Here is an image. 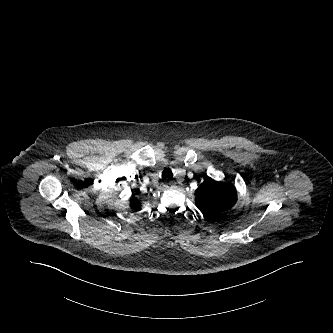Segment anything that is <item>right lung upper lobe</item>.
Instances as JSON below:
<instances>
[{"instance_id": "1", "label": "right lung upper lobe", "mask_w": 333, "mask_h": 333, "mask_svg": "<svg viewBox=\"0 0 333 333\" xmlns=\"http://www.w3.org/2000/svg\"><path fill=\"white\" fill-rule=\"evenodd\" d=\"M142 202L138 197L133 196L130 200V207L134 211H139L141 209Z\"/></svg>"}]
</instances>
